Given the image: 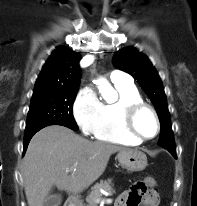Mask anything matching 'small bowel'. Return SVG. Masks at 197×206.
Masks as SVG:
<instances>
[{
	"label": "small bowel",
	"mask_w": 197,
	"mask_h": 206,
	"mask_svg": "<svg viewBox=\"0 0 197 206\" xmlns=\"http://www.w3.org/2000/svg\"><path fill=\"white\" fill-rule=\"evenodd\" d=\"M129 195L130 191H125L118 198L115 206H130L129 204ZM158 196L154 189L151 190V193L148 195V206H157Z\"/></svg>",
	"instance_id": "c3829d8e"
}]
</instances>
